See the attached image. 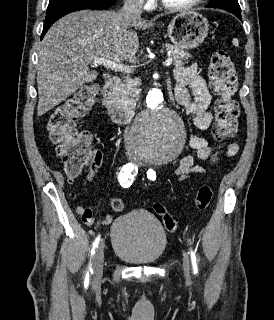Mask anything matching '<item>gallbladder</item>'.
I'll return each mask as SVG.
<instances>
[{
	"label": "gallbladder",
	"mask_w": 274,
	"mask_h": 320,
	"mask_svg": "<svg viewBox=\"0 0 274 320\" xmlns=\"http://www.w3.org/2000/svg\"><path fill=\"white\" fill-rule=\"evenodd\" d=\"M93 77L94 79H103L104 74L103 72H94Z\"/></svg>",
	"instance_id": "1"
}]
</instances>
